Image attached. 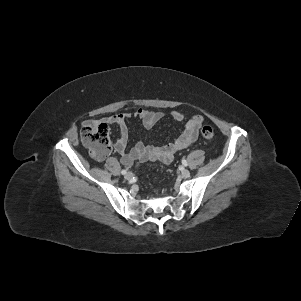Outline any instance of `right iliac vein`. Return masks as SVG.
Segmentation results:
<instances>
[{
    "instance_id": "right-iliac-vein-1",
    "label": "right iliac vein",
    "mask_w": 301,
    "mask_h": 301,
    "mask_svg": "<svg viewBox=\"0 0 301 301\" xmlns=\"http://www.w3.org/2000/svg\"><path fill=\"white\" fill-rule=\"evenodd\" d=\"M132 176H133V174H132L131 172H127V173L125 174L124 178H125L126 180H129V179L132 178Z\"/></svg>"
}]
</instances>
